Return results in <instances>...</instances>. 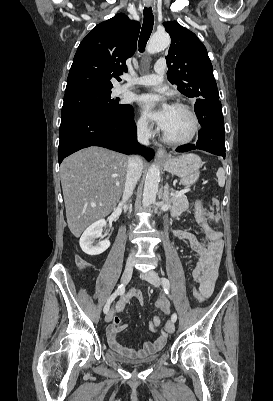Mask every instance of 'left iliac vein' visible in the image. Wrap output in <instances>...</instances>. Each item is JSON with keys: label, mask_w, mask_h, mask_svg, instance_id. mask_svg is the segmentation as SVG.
Returning <instances> with one entry per match:
<instances>
[{"label": "left iliac vein", "mask_w": 273, "mask_h": 401, "mask_svg": "<svg viewBox=\"0 0 273 401\" xmlns=\"http://www.w3.org/2000/svg\"><path fill=\"white\" fill-rule=\"evenodd\" d=\"M140 277L147 280L155 287H159L160 285V278L157 272H155L154 270H150L147 274H140ZM165 330L170 334L174 333L175 331L174 322L171 320L167 321V323L165 324Z\"/></svg>", "instance_id": "left-iliac-vein-1"}]
</instances>
